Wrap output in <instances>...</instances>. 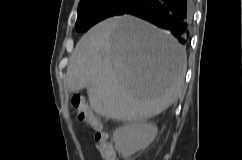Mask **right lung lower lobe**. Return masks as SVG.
Returning a JSON list of instances; mask_svg holds the SVG:
<instances>
[{"label": "right lung lower lobe", "instance_id": "right-lung-lower-lobe-1", "mask_svg": "<svg viewBox=\"0 0 242 160\" xmlns=\"http://www.w3.org/2000/svg\"><path fill=\"white\" fill-rule=\"evenodd\" d=\"M125 14L168 30L185 44L192 22V0H141Z\"/></svg>", "mask_w": 242, "mask_h": 160}]
</instances>
